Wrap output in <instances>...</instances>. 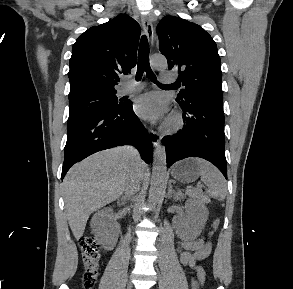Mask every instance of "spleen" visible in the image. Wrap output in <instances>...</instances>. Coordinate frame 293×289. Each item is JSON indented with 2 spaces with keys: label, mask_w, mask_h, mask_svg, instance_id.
Masks as SVG:
<instances>
[{
  "label": "spleen",
  "mask_w": 293,
  "mask_h": 289,
  "mask_svg": "<svg viewBox=\"0 0 293 289\" xmlns=\"http://www.w3.org/2000/svg\"><path fill=\"white\" fill-rule=\"evenodd\" d=\"M200 168L202 182L208 187L207 193L210 197L224 200L227 195L226 181L220 171L204 159L196 158Z\"/></svg>",
  "instance_id": "3e777b00"
}]
</instances>
